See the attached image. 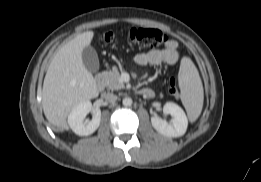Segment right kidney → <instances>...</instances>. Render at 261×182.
Listing matches in <instances>:
<instances>
[{"label": "right kidney", "mask_w": 261, "mask_h": 182, "mask_svg": "<svg viewBox=\"0 0 261 182\" xmlns=\"http://www.w3.org/2000/svg\"><path fill=\"white\" fill-rule=\"evenodd\" d=\"M91 111L93 113L92 120L84 121L86 115ZM100 120L101 110L93 108L89 100L75 106L68 116L70 128L79 136H88L94 133L100 125Z\"/></svg>", "instance_id": "obj_1"}]
</instances>
